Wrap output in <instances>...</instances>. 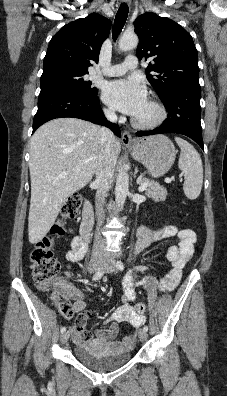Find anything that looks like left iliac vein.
Wrapping results in <instances>:
<instances>
[{
  "label": "left iliac vein",
  "mask_w": 227,
  "mask_h": 396,
  "mask_svg": "<svg viewBox=\"0 0 227 396\" xmlns=\"http://www.w3.org/2000/svg\"><path fill=\"white\" fill-rule=\"evenodd\" d=\"M116 264L113 259H108L103 267L104 272L113 273L116 270ZM138 337L140 341H145L147 339V333L143 330H140L138 333Z\"/></svg>",
  "instance_id": "obj_1"
}]
</instances>
